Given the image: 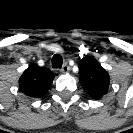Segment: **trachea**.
Segmentation results:
<instances>
[{"label":"trachea","instance_id":"1","mask_svg":"<svg viewBox=\"0 0 133 133\" xmlns=\"http://www.w3.org/2000/svg\"><path fill=\"white\" fill-rule=\"evenodd\" d=\"M62 64H63L62 57L59 54H55L52 58V67L61 68Z\"/></svg>","mask_w":133,"mask_h":133}]
</instances>
